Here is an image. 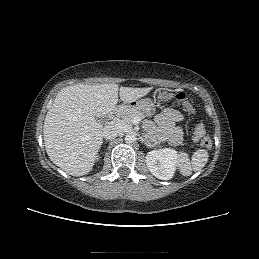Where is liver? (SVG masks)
<instances>
[{
  "label": "liver",
  "mask_w": 259,
  "mask_h": 259,
  "mask_svg": "<svg viewBox=\"0 0 259 259\" xmlns=\"http://www.w3.org/2000/svg\"><path fill=\"white\" fill-rule=\"evenodd\" d=\"M152 87L117 84H76L62 88L45 117L43 136L50 160L72 176L88 174L103 143V126L96 117L112 112L120 99L130 103Z\"/></svg>",
  "instance_id": "liver-1"
}]
</instances>
